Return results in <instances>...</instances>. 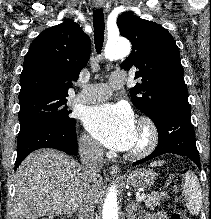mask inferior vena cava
<instances>
[{
    "mask_svg": "<svg viewBox=\"0 0 211 219\" xmlns=\"http://www.w3.org/2000/svg\"><path fill=\"white\" fill-rule=\"evenodd\" d=\"M79 154L82 162L83 175L87 181V188L94 187L103 167V148L90 138L79 142ZM95 203L90 192H85L78 202V219H94Z\"/></svg>",
    "mask_w": 211,
    "mask_h": 219,
    "instance_id": "602c4592",
    "label": "inferior vena cava"
}]
</instances>
